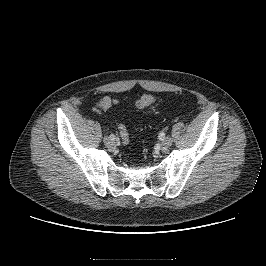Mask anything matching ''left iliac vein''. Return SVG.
Masks as SVG:
<instances>
[{"instance_id":"1","label":"left iliac vein","mask_w":266,"mask_h":266,"mask_svg":"<svg viewBox=\"0 0 266 266\" xmlns=\"http://www.w3.org/2000/svg\"><path fill=\"white\" fill-rule=\"evenodd\" d=\"M172 138H170V137H165V139L163 140V142H162V146L164 147V148H167V147H170L171 145H172Z\"/></svg>"}]
</instances>
